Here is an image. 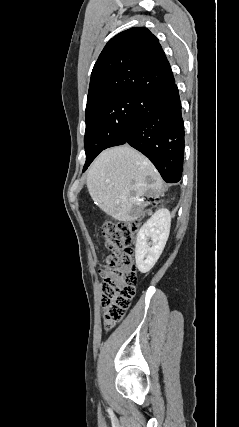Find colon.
<instances>
[{"mask_svg": "<svg viewBox=\"0 0 239 427\" xmlns=\"http://www.w3.org/2000/svg\"><path fill=\"white\" fill-rule=\"evenodd\" d=\"M138 228V222H109L102 226V238L111 252L100 268L103 319L107 329L124 317L135 295L137 273L133 243Z\"/></svg>", "mask_w": 239, "mask_h": 427, "instance_id": "colon-1", "label": "colon"}]
</instances>
